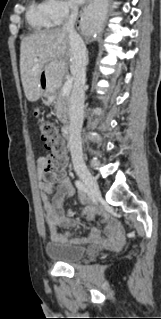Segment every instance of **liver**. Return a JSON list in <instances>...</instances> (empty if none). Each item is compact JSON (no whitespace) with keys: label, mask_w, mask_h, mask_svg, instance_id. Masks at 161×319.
I'll return each instance as SVG.
<instances>
[{"label":"liver","mask_w":161,"mask_h":319,"mask_svg":"<svg viewBox=\"0 0 161 319\" xmlns=\"http://www.w3.org/2000/svg\"><path fill=\"white\" fill-rule=\"evenodd\" d=\"M69 35L62 29L41 31L25 37L20 45V74L28 101L41 96L40 74L51 62L60 63L65 69V58H71Z\"/></svg>","instance_id":"1"}]
</instances>
